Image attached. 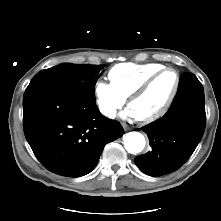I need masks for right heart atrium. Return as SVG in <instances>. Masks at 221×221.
<instances>
[{"mask_svg": "<svg viewBox=\"0 0 221 221\" xmlns=\"http://www.w3.org/2000/svg\"><path fill=\"white\" fill-rule=\"evenodd\" d=\"M94 96L100 113L107 119L115 118L118 110L125 103V99L116 91L112 84L102 80L96 81Z\"/></svg>", "mask_w": 221, "mask_h": 221, "instance_id": "d8ad5b80", "label": "right heart atrium"}]
</instances>
